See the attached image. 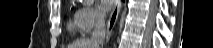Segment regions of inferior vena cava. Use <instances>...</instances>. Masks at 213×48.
<instances>
[{
  "instance_id": "inferior-vena-cava-1",
  "label": "inferior vena cava",
  "mask_w": 213,
  "mask_h": 48,
  "mask_svg": "<svg viewBox=\"0 0 213 48\" xmlns=\"http://www.w3.org/2000/svg\"><path fill=\"white\" fill-rule=\"evenodd\" d=\"M105 18L102 13H96V20L94 25V30L91 35V42L95 45L96 48H99V45L103 44L105 39Z\"/></svg>"
}]
</instances>
